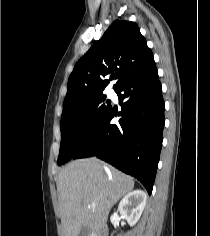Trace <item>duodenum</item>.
<instances>
[{
	"label": "duodenum",
	"instance_id": "1",
	"mask_svg": "<svg viewBox=\"0 0 210 236\" xmlns=\"http://www.w3.org/2000/svg\"><path fill=\"white\" fill-rule=\"evenodd\" d=\"M91 236H107V233L105 229H102L100 232L92 234Z\"/></svg>",
	"mask_w": 210,
	"mask_h": 236
}]
</instances>
